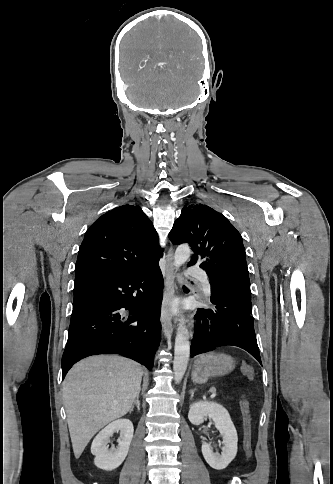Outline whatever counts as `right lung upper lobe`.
Segmentation results:
<instances>
[{
	"instance_id": "cb5924a9",
	"label": "right lung upper lobe",
	"mask_w": 333,
	"mask_h": 484,
	"mask_svg": "<svg viewBox=\"0 0 333 484\" xmlns=\"http://www.w3.org/2000/svg\"><path fill=\"white\" fill-rule=\"evenodd\" d=\"M162 256L158 235L138 206L122 205L99 217L80 246L75 280L90 276H130Z\"/></svg>"
}]
</instances>
